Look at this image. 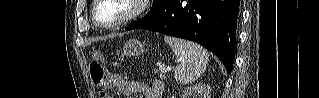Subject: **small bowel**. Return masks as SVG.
I'll list each match as a JSON object with an SVG mask.
<instances>
[{
	"label": "small bowel",
	"mask_w": 319,
	"mask_h": 98,
	"mask_svg": "<svg viewBox=\"0 0 319 98\" xmlns=\"http://www.w3.org/2000/svg\"><path fill=\"white\" fill-rule=\"evenodd\" d=\"M107 86L117 89L125 96L137 94L139 98H160L162 92L160 83L148 85L143 82L128 81L117 75L109 77Z\"/></svg>",
	"instance_id": "c3829d8e"
}]
</instances>
